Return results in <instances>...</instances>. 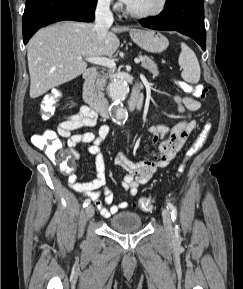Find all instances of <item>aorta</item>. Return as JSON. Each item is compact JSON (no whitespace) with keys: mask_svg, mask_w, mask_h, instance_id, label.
<instances>
[{"mask_svg":"<svg viewBox=\"0 0 243 289\" xmlns=\"http://www.w3.org/2000/svg\"><path fill=\"white\" fill-rule=\"evenodd\" d=\"M128 92L127 83L122 79H116L110 84L109 95L113 101L115 118L122 123H125L128 117V112L123 105Z\"/></svg>","mask_w":243,"mask_h":289,"instance_id":"obj_1","label":"aorta"}]
</instances>
